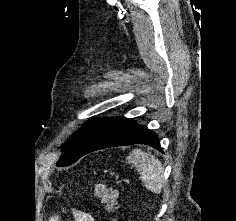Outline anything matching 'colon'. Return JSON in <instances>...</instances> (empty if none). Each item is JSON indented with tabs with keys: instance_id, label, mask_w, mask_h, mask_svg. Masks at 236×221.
<instances>
[{
	"instance_id": "5ec220e1",
	"label": "colon",
	"mask_w": 236,
	"mask_h": 221,
	"mask_svg": "<svg viewBox=\"0 0 236 221\" xmlns=\"http://www.w3.org/2000/svg\"><path fill=\"white\" fill-rule=\"evenodd\" d=\"M87 192L98 198L108 212H113L118 207V190L105 183H95L87 188ZM112 221H115L114 219Z\"/></svg>"
}]
</instances>
